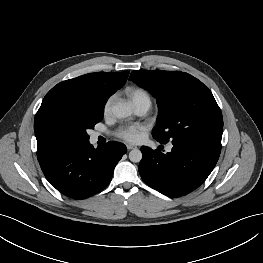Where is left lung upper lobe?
Masks as SVG:
<instances>
[{"instance_id": "left-lung-upper-lobe-1", "label": "left lung upper lobe", "mask_w": 263, "mask_h": 263, "mask_svg": "<svg viewBox=\"0 0 263 263\" xmlns=\"http://www.w3.org/2000/svg\"><path fill=\"white\" fill-rule=\"evenodd\" d=\"M129 79L157 99L152 135L160 143L222 139L221 110L211 91L195 77L180 71L136 70Z\"/></svg>"}]
</instances>
